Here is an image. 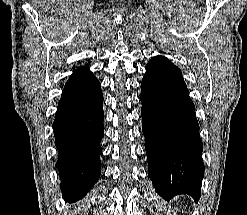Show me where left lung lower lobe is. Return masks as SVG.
I'll return each mask as SVG.
<instances>
[{"instance_id":"obj_1","label":"left lung lower lobe","mask_w":247,"mask_h":215,"mask_svg":"<svg viewBox=\"0 0 247 215\" xmlns=\"http://www.w3.org/2000/svg\"><path fill=\"white\" fill-rule=\"evenodd\" d=\"M140 100L148 174L156 192L166 200L188 194L198 201L203 145L180 70L163 56L153 57L146 65Z\"/></svg>"}]
</instances>
